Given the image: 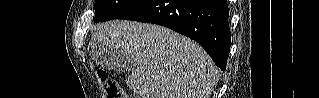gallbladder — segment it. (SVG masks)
<instances>
[{
	"mask_svg": "<svg viewBox=\"0 0 319 98\" xmlns=\"http://www.w3.org/2000/svg\"><path fill=\"white\" fill-rule=\"evenodd\" d=\"M90 53L96 63L118 72L130 71L133 63L130 55L103 45L95 46Z\"/></svg>",
	"mask_w": 319,
	"mask_h": 98,
	"instance_id": "bac80fb5",
	"label": "gallbladder"
}]
</instances>
